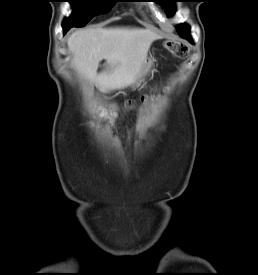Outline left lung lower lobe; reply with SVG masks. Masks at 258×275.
Wrapping results in <instances>:
<instances>
[{
	"label": "left lung lower lobe",
	"instance_id": "obj_1",
	"mask_svg": "<svg viewBox=\"0 0 258 275\" xmlns=\"http://www.w3.org/2000/svg\"><path fill=\"white\" fill-rule=\"evenodd\" d=\"M181 37H183V38L187 39L189 42L193 43L192 39H191V36H190V33H187V34H185V35H183Z\"/></svg>",
	"mask_w": 258,
	"mask_h": 275
}]
</instances>
